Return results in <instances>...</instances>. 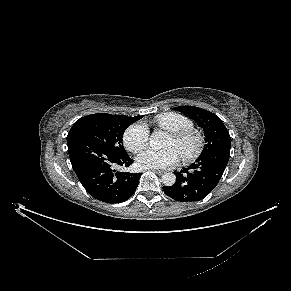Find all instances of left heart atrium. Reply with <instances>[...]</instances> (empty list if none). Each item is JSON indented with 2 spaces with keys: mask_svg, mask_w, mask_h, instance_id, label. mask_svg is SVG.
<instances>
[{
  "mask_svg": "<svg viewBox=\"0 0 291 291\" xmlns=\"http://www.w3.org/2000/svg\"><path fill=\"white\" fill-rule=\"evenodd\" d=\"M180 154L174 147L163 150L147 149L137 158V164L142 168H167L179 160Z\"/></svg>",
  "mask_w": 291,
  "mask_h": 291,
  "instance_id": "1",
  "label": "left heart atrium"
}]
</instances>
